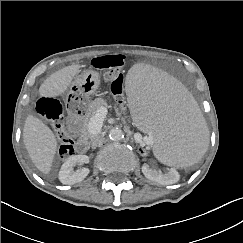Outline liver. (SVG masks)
<instances>
[{
  "label": "liver",
  "instance_id": "1",
  "mask_svg": "<svg viewBox=\"0 0 243 243\" xmlns=\"http://www.w3.org/2000/svg\"><path fill=\"white\" fill-rule=\"evenodd\" d=\"M80 68L81 65H71L50 75L39 88L40 96L54 98L63 95ZM23 141L36 168L48 174L57 151V140L52 130L37 117L28 115L23 129Z\"/></svg>",
  "mask_w": 243,
  "mask_h": 243
}]
</instances>
